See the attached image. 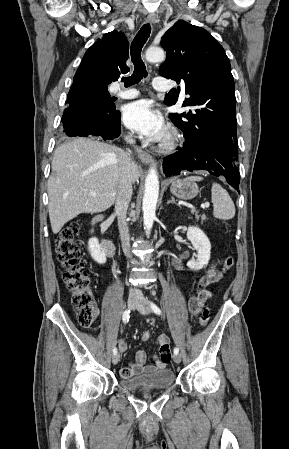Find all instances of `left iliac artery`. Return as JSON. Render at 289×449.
<instances>
[{
  "mask_svg": "<svg viewBox=\"0 0 289 449\" xmlns=\"http://www.w3.org/2000/svg\"><path fill=\"white\" fill-rule=\"evenodd\" d=\"M151 308L153 310V312L157 315H161L162 312L160 310V308L153 302H151ZM179 353V349L177 347L174 348V354H178Z\"/></svg>",
  "mask_w": 289,
  "mask_h": 449,
  "instance_id": "left-iliac-artery-1",
  "label": "left iliac artery"
}]
</instances>
